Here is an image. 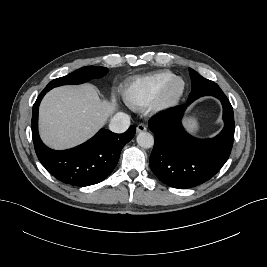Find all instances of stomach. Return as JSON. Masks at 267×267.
Wrapping results in <instances>:
<instances>
[{"instance_id": "obj_1", "label": "stomach", "mask_w": 267, "mask_h": 267, "mask_svg": "<svg viewBox=\"0 0 267 267\" xmlns=\"http://www.w3.org/2000/svg\"><path fill=\"white\" fill-rule=\"evenodd\" d=\"M185 125L187 129L194 134L197 133L199 130L198 120H197V117L194 115H190L187 117L185 121Z\"/></svg>"}]
</instances>
